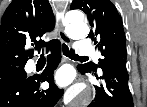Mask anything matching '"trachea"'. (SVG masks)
<instances>
[{"mask_svg": "<svg viewBox=\"0 0 147 107\" xmlns=\"http://www.w3.org/2000/svg\"><path fill=\"white\" fill-rule=\"evenodd\" d=\"M62 50H63V54L69 58H77V59H85L88 57L85 56H79L77 54H75V52L73 50H69L68 46L66 44L62 45ZM41 56H44V54H42Z\"/></svg>", "mask_w": 147, "mask_h": 107, "instance_id": "3493384b", "label": "trachea"}]
</instances>
